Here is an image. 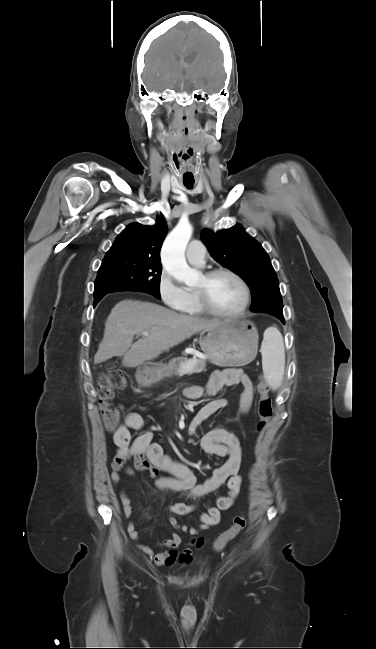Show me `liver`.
I'll return each mask as SVG.
<instances>
[{
	"label": "liver",
	"instance_id": "1",
	"mask_svg": "<svg viewBox=\"0 0 376 649\" xmlns=\"http://www.w3.org/2000/svg\"><path fill=\"white\" fill-rule=\"evenodd\" d=\"M222 323L179 314L156 303L123 300L113 307L105 322L94 363L123 356L124 366L136 367L194 334ZM143 332L148 335L133 344L134 336Z\"/></svg>",
	"mask_w": 376,
	"mask_h": 649
}]
</instances>
